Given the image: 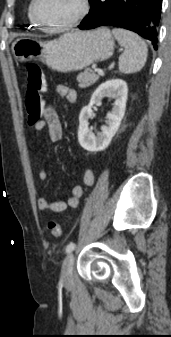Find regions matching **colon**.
<instances>
[{"label": "colon", "mask_w": 171, "mask_h": 337, "mask_svg": "<svg viewBox=\"0 0 171 337\" xmlns=\"http://www.w3.org/2000/svg\"><path fill=\"white\" fill-rule=\"evenodd\" d=\"M27 69V93L26 109L31 121H35L39 116L44 115L42 107L47 106V101L42 100V92L46 87V78L41 66L38 63L31 62L26 66ZM48 229L53 237H59L62 234L61 225L56 221L48 224Z\"/></svg>", "instance_id": "obj_1"}]
</instances>
